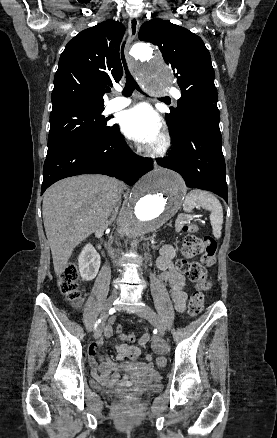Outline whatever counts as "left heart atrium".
<instances>
[{"label":"left heart atrium","mask_w":277,"mask_h":438,"mask_svg":"<svg viewBox=\"0 0 277 438\" xmlns=\"http://www.w3.org/2000/svg\"><path fill=\"white\" fill-rule=\"evenodd\" d=\"M120 124L127 137L147 149L153 148L162 134V121L148 104H140L124 112Z\"/></svg>","instance_id":"1"}]
</instances>
